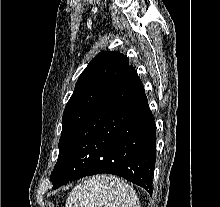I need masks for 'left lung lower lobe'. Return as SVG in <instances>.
I'll return each mask as SVG.
<instances>
[{
    "label": "left lung lower lobe",
    "mask_w": 220,
    "mask_h": 207,
    "mask_svg": "<svg viewBox=\"0 0 220 207\" xmlns=\"http://www.w3.org/2000/svg\"><path fill=\"white\" fill-rule=\"evenodd\" d=\"M156 127L142 82L129 65L77 129L51 173L53 189L109 173L152 195Z\"/></svg>",
    "instance_id": "obj_1"
}]
</instances>
